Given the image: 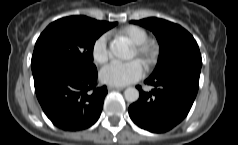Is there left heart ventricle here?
<instances>
[{"label": "left heart ventricle", "mask_w": 238, "mask_h": 145, "mask_svg": "<svg viewBox=\"0 0 238 145\" xmlns=\"http://www.w3.org/2000/svg\"><path fill=\"white\" fill-rule=\"evenodd\" d=\"M132 56H135V51L134 50L132 51Z\"/></svg>", "instance_id": "1"}]
</instances>
